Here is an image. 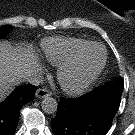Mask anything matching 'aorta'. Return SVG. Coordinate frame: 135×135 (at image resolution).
<instances>
[{"mask_svg":"<svg viewBox=\"0 0 135 135\" xmlns=\"http://www.w3.org/2000/svg\"><path fill=\"white\" fill-rule=\"evenodd\" d=\"M42 110L47 114H53L57 111L58 103L52 97H45L41 103Z\"/></svg>","mask_w":135,"mask_h":135,"instance_id":"aorta-1","label":"aorta"}]
</instances>
